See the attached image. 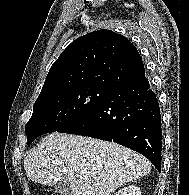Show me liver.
Here are the masks:
<instances>
[{"label":"liver","instance_id":"6515ba94","mask_svg":"<svg viewBox=\"0 0 189 195\" xmlns=\"http://www.w3.org/2000/svg\"><path fill=\"white\" fill-rule=\"evenodd\" d=\"M24 169L40 184L69 183L72 195H111L150 173L151 163L114 142L53 132L27 154Z\"/></svg>","mask_w":189,"mask_h":195}]
</instances>
